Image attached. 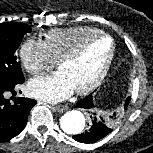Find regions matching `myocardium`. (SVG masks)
<instances>
[{
    "label": "myocardium",
    "mask_w": 153,
    "mask_h": 153,
    "mask_svg": "<svg viewBox=\"0 0 153 153\" xmlns=\"http://www.w3.org/2000/svg\"><path fill=\"white\" fill-rule=\"evenodd\" d=\"M99 39L110 40L111 42L110 53L106 61L104 62L102 68L100 69L99 73L96 75V77L86 86L75 89V92L77 94L83 95V94L89 93L90 91L95 89L105 78V76L107 75L111 67V64L113 62L115 52H116V44H115L114 39L106 33H100V34L94 35L84 40L78 47H76L73 51H71L69 54H67L66 56H64L58 61V67H60L63 64L70 63V62L77 60L84 53V51L88 48L90 44H92L93 42Z\"/></svg>",
    "instance_id": "f54148a6"
}]
</instances>
